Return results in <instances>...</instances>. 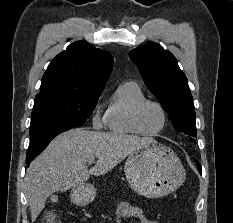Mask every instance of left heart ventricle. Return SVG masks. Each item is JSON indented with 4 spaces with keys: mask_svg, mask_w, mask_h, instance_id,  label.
I'll use <instances>...</instances> for the list:
<instances>
[{
    "mask_svg": "<svg viewBox=\"0 0 233 223\" xmlns=\"http://www.w3.org/2000/svg\"><path fill=\"white\" fill-rule=\"evenodd\" d=\"M141 125L148 133L160 131L164 126L162 111L153 104L146 105L141 113Z\"/></svg>",
    "mask_w": 233,
    "mask_h": 223,
    "instance_id": "left-heart-ventricle-1",
    "label": "left heart ventricle"
}]
</instances>
